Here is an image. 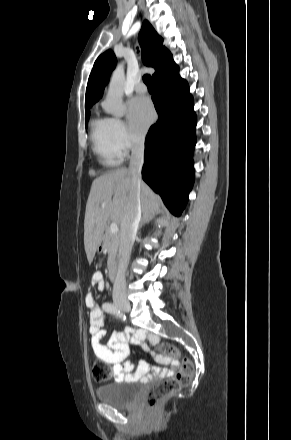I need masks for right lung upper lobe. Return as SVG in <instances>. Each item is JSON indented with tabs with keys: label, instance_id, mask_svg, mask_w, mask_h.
<instances>
[{
	"label": "right lung upper lobe",
	"instance_id": "right-lung-upper-lobe-1",
	"mask_svg": "<svg viewBox=\"0 0 291 440\" xmlns=\"http://www.w3.org/2000/svg\"><path fill=\"white\" fill-rule=\"evenodd\" d=\"M139 40L144 64L155 69L152 76L153 80L178 68L170 51L162 46V37L157 34L147 20L142 25ZM116 61V57L111 50L101 54L95 61L86 88L85 109H89L100 99L108 83L110 73L116 66Z\"/></svg>",
	"mask_w": 291,
	"mask_h": 440
}]
</instances>
